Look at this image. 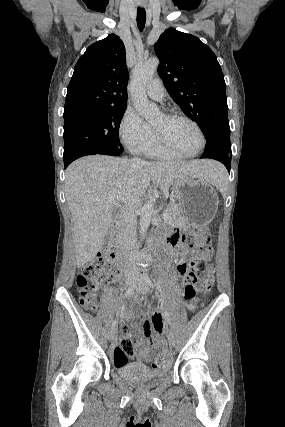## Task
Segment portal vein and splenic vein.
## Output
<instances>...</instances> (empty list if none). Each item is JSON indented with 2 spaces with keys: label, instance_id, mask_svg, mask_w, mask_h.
<instances>
[{
  "label": "portal vein and splenic vein",
  "instance_id": "1",
  "mask_svg": "<svg viewBox=\"0 0 285 427\" xmlns=\"http://www.w3.org/2000/svg\"><path fill=\"white\" fill-rule=\"evenodd\" d=\"M106 200L112 201L113 198L112 197H107ZM162 218L164 220L169 219V215L167 213H163Z\"/></svg>",
  "mask_w": 285,
  "mask_h": 427
}]
</instances>
